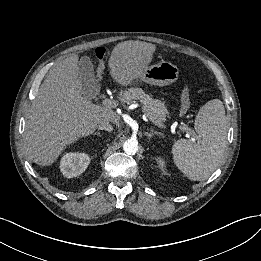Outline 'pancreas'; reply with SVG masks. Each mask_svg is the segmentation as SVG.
<instances>
[{"label": "pancreas", "mask_w": 261, "mask_h": 261, "mask_svg": "<svg viewBox=\"0 0 261 261\" xmlns=\"http://www.w3.org/2000/svg\"><path fill=\"white\" fill-rule=\"evenodd\" d=\"M118 101L121 104H132L136 101L142 102L148 111L152 114L154 121L161 123L166 120L167 109L161 100L152 98L141 88L132 87L118 95Z\"/></svg>", "instance_id": "cf45deb5"}]
</instances>
